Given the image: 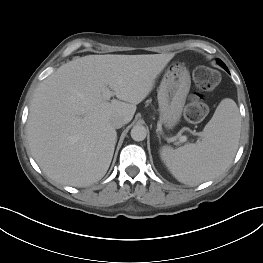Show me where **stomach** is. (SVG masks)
I'll use <instances>...</instances> for the list:
<instances>
[{"label":"stomach","mask_w":263,"mask_h":263,"mask_svg":"<svg viewBox=\"0 0 263 263\" xmlns=\"http://www.w3.org/2000/svg\"><path fill=\"white\" fill-rule=\"evenodd\" d=\"M190 86V74L186 67L179 63L168 66L157 95L160 120L167 129L179 123Z\"/></svg>","instance_id":"obj_1"}]
</instances>
